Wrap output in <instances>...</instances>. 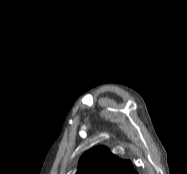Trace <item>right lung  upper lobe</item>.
<instances>
[{"label": "right lung upper lobe", "instance_id": "obj_1", "mask_svg": "<svg viewBox=\"0 0 187 174\" xmlns=\"http://www.w3.org/2000/svg\"><path fill=\"white\" fill-rule=\"evenodd\" d=\"M76 174H136L130 161L122 160L99 146L87 151L80 159Z\"/></svg>", "mask_w": 187, "mask_h": 174}]
</instances>
